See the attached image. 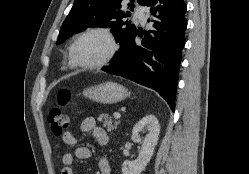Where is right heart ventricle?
<instances>
[{
  "instance_id": "e07e8e85",
  "label": "right heart ventricle",
  "mask_w": 249,
  "mask_h": 174,
  "mask_svg": "<svg viewBox=\"0 0 249 174\" xmlns=\"http://www.w3.org/2000/svg\"><path fill=\"white\" fill-rule=\"evenodd\" d=\"M69 65H70V67H72V68L76 67V64H75V62H74V60H73V58H72L71 47H70V50H69Z\"/></svg>"
}]
</instances>
